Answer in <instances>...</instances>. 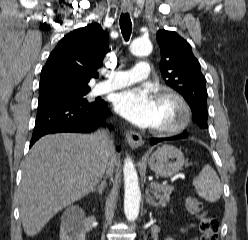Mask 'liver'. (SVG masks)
<instances>
[{
    "instance_id": "6515ba94",
    "label": "liver",
    "mask_w": 248,
    "mask_h": 240,
    "mask_svg": "<svg viewBox=\"0 0 248 240\" xmlns=\"http://www.w3.org/2000/svg\"><path fill=\"white\" fill-rule=\"evenodd\" d=\"M107 159L117 163L104 132L39 139L23 163L18 191L26 235H37L56 213L92 191L105 173Z\"/></svg>"
}]
</instances>
